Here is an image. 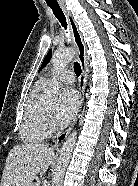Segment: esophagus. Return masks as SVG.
<instances>
[{"instance_id": "34e87169", "label": "esophagus", "mask_w": 138, "mask_h": 186, "mask_svg": "<svg viewBox=\"0 0 138 186\" xmlns=\"http://www.w3.org/2000/svg\"><path fill=\"white\" fill-rule=\"evenodd\" d=\"M60 6L63 10V12L66 15L67 21L69 23V27H70V31H71V36H72V41L77 49V59L81 65L82 68V74L81 77L79 79V89H80V94H81V103H80V108L82 106V102H83V95H84V91H85V85H86V78H87V53H86V47L85 44L83 42L82 36L79 32L78 29V25L75 22L72 14L67 10L64 2H60ZM77 121V117L73 120V123L71 124V126L64 131L63 133L59 134L55 140V146L58 147L60 146L63 141L67 138L68 134L70 133V131L72 130L73 126L75 125Z\"/></svg>"}]
</instances>
